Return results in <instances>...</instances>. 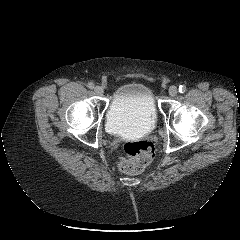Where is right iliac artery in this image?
Segmentation results:
<instances>
[{"mask_svg": "<svg viewBox=\"0 0 240 240\" xmlns=\"http://www.w3.org/2000/svg\"><path fill=\"white\" fill-rule=\"evenodd\" d=\"M90 89H93L94 88V84L92 82H89L88 85H87Z\"/></svg>", "mask_w": 240, "mask_h": 240, "instance_id": "obj_1", "label": "right iliac artery"}]
</instances>
